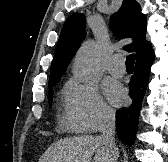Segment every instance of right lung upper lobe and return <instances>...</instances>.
Segmentation results:
<instances>
[{"instance_id":"right-lung-upper-lobe-1","label":"right lung upper lobe","mask_w":168,"mask_h":162,"mask_svg":"<svg viewBox=\"0 0 168 162\" xmlns=\"http://www.w3.org/2000/svg\"><path fill=\"white\" fill-rule=\"evenodd\" d=\"M85 24V15L80 13L72 14L65 21L56 45L49 84L58 82L65 73L86 36ZM110 25L116 36L133 39L124 49L134 51L136 60L153 51L151 44L145 39L146 16L141 13L140 5L135 0H123L119 11L112 15Z\"/></svg>"}]
</instances>
